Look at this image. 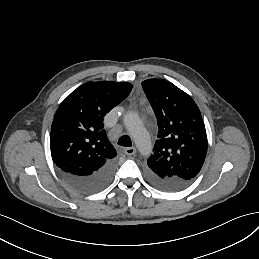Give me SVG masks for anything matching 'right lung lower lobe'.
I'll list each match as a JSON object with an SVG mask.
<instances>
[{
    "label": "right lung lower lobe",
    "mask_w": 259,
    "mask_h": 259,
    "mask_svg": "<svg viewBox=\"0 0 259 259\" xmlns=\"http://www.w3.org/2000/svg\"><path fill=\"white\" fill-rule=\"evenodd\" d=\"M115 171V159L90 175H78L59 168L61 177L75 190L82 193H94L105 188Z\"/></svg>",
    "instance_id": "98d812e1"
}]
</instances>
